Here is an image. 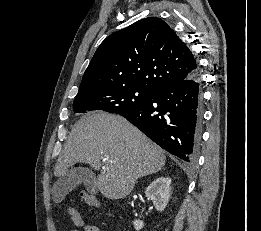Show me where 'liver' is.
<instances>
[{
    "label": "liver",
    "mask_w": 261,
    "mask_h": 231,
    "mask_svg": "<svg viewBox=\"0 0 261 231\" xmlns=\"http://www.w3.org/2000/svg\"><path fill=\"white\" fill-rule=\"evenodd\" d=\"M164 151L119 115L104 112L83 116L73 126L54 168L61 177L76 163L101 173L97 187L111 199L127 196L136 180L164 166Z\"/></svg>",
    "instance_id": "liver-1"
}]
</instances>
